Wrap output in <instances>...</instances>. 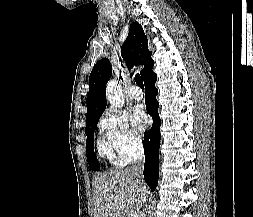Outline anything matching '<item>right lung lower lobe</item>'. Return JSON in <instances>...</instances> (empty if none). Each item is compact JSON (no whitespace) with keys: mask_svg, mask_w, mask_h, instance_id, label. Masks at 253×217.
<instances>
[{"mask_svg":"<svg viewBox=\"0 0 253 217\" xmlns=\"http://www.w3.org/2000/svg\"><path fill=\"white\" fill-rule=\"evenodd\" d=\"M157 75L155 73H150L145 79V103L147 112L153 118V125L150 130L144 133V154H145V164H144V180L151 188L152 191L155 190L158 183L159 172H158V155H159V143L161 139L160 134V124L161 120L158 115L157 109L159 103L156 100V95L158 90L155 87V82Z\"/></svg>","mask_w":253,"mask_h":217,"instance_id":"obj_1","label":"right lung lower lobe"}]
</instances>
